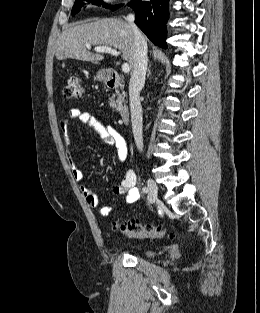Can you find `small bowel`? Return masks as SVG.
<instances>
[{
    "label": "small bowel",
    "mask_w": 260,
    "mask_h": 313,
    "mask_svg": "<svg viewBox=\"0 0 260 313\" xmlns=\"http://www.w3.org/2000/svg\"><path fill=\"white\" fill-rule=\"evenodd\" d=\"M74 119L88 125L105 143L114 145L117 152V158L120 162L126 160L128 151L126 140L111 124L98 120L95 115L90 112H85L76 108L72 109L70 110L68 117L61 121L60 126L62 137L66 145V159L74 180L80 182L84 177L82 170L74 158L73 150L70 145V123L71 120ZM136 181L137 178L135 172L132 169H127L124 173L121 184L114 190V193L118 196L125 195V204L127 206L134 205L139 198ZM79 189L89 207H98V214L100 216L105 217L110 214L111 207L108 205L99 207L98 197L89 187L82 184Z\"/></svg>",
    "instance_id": "obj_1"
}]
</instances>
